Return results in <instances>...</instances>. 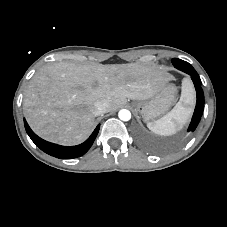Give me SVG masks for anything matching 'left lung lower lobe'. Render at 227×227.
Instances as JSON below:
<instances>
[{
	"mask_svg": "<svg viewBox=\"0 0 227 227\" xmlns=\"http://www.w3.org/2000/svg\"><path fill=\"white\" fill-rule=\"evenodd\" d=\"M177 69L189 74L191 76V79L194 83L196 93H197V102H196V107L195 111L192 117V121L189 125L188 132L189 131H194L201 119L203 109H204V94L201 88V80L198 75V73L195 71V69L185 61H182L181 63L175 64L174 65Z\"/></svg>",
	"mask_w": 227,
	"mask_h": 227,
	"instance_id": "left-lung-lower-lobe-1",
	"label": "left lung lower lobe"
}]
</instances>
